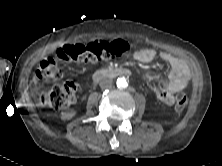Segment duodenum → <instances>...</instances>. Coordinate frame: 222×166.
I'll return each instance as SVG.
<instances>
[{
    "mask_svg": "<svg viewBox=\"0 0 222 166\" xmlns=\"http://www.w3.org/2000/svg\"><path fill=\"white\" fill-rule=\"evenodd\" d=\"M130 70L125 67H114L108 69L98 70L93 75V81L98 82L103 78L110 76L129 75Z\"/></svg>",
    "mask_w": 222,
    "mask_h": 166,
    "instance_id": "obj_1",
    "label": "duodenum"
}]
</instances>
